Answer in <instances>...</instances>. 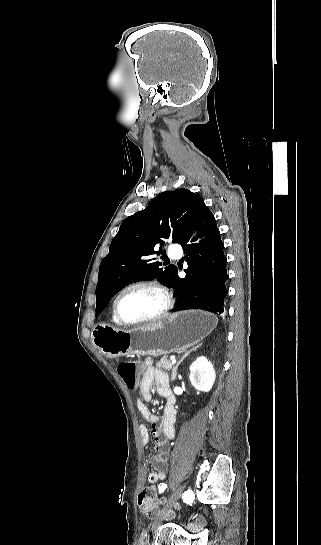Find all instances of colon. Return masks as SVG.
<instances>
[{
  "mask_svg": "<svg viewBox=\"0 0 321 545\" xmlns=\"http://www.w3.org/2000/svg\"><path fill=\"white\" fill-rule=\"evenodd\" d=\"M118 373L129 389H135L137 386V364L131 360H125L119 363ZM161 500L153 487L144 488L138 495V505L145 515L156 517L160 513Z\"/></svg>",
  "mask_w": 321,
  "mask_h": 545,
  "instance_id": "1",
  "label": "colon"
}]
</instances>
